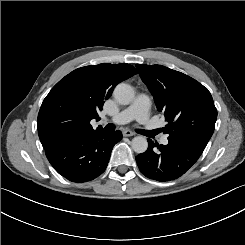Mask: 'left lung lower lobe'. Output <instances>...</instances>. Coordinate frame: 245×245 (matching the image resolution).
Segmentation results:
<instances>
[{
  "label": "left lung lower lobe",
  "instance_id": "0a47b994",
  "mask_svg": "<svg viewBox=\"0 0 245 245\" xmlns=\"http://www.w3.org/2000/svg\"><path fill=\"white\" fill-rule=\"evenodd\" d=\"M148 144V149L136 156V162L142 174L160 182L181 177L203 152L173 140H169L167 145H159L148 139Z\"/></svg>",
  "mask_w": 245,
  "mask_h": 245
}]
</instances>
